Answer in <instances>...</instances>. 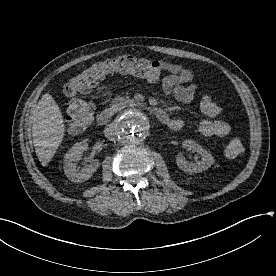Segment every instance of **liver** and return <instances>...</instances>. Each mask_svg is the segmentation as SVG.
Here are the masks:
<instances>
[{
  "label": "liver",
  "instance_id": "obj_1",
  "mask_svg": "<svg viewBox=\"0 0 276 276\" xmlns=\"http://www.w3.org/2000/svg\"><path fill=\"white\" fill-rule=\"evenodd\" d=\"M31 122L36 155L42 166H47L65 135V121L52 95L44 94L33 107Z\"/></svg>",
  "mask_w": 276,
  "mask_h": 276
}]
</instances>
